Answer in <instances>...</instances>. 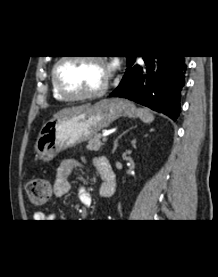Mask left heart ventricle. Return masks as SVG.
Wrapping results in <instances>:
<instances>
[{"instance_id": "1", "label": "left heart ventricle", "mask_w": 218, "mask_h": 277, "mask_svg": "<svg viewBox=\"0 0 218 277\" xmlns=\"http://www.w3.org/2000/svg\"><path fill=\"white\" fill-rule=\"evenodd\" d=\"M64 89L71 94H83L100 88L105 82L107 67L97 61L69 59L58 69Z\"/></svg>"}]
</instances>
